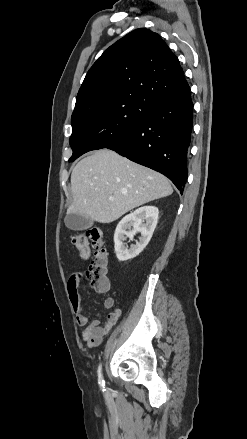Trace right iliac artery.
<instances>
[{"label": "right iliac artery", "instance_id": "right-iliac-artery-1", "mask_svg": "<svg viewBox=\"0 0 247 439\" xmlns=\"http://www.w3.org/2000/svg\"><path fill=\"white\" fill-rule=\"evenodd\" d=\"M98 383H99V385H100L102 391H106V388H105V381H104V379H103V375H102V367H101V365L99 366V369H98Z\"/></svg>", "mask_w": 247, "mask_h": 439}]
</instances>
